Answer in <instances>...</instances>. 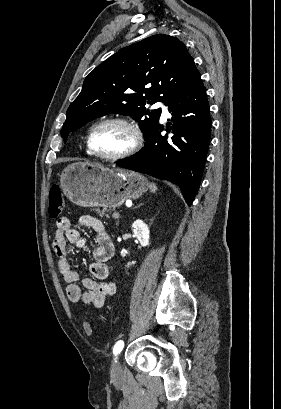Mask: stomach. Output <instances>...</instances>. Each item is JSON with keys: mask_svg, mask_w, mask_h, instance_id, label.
Instances as JSON below:
<instances>
[{"mask_svg": "<svg viewBox=\"0 0 281 409\" xmlns=\"http://www.w3.org/2000/svg\"><path fill=\"white\" fill-rule=\"evenodd\" d=\"M60 186L78 207H121L126 198H139L148 182L134 170L78 160L62 170Z\"/></svg>", "mask_w": 281, "mask_h": 409, "instance_id": "obj_1", "label": "stomach"}]
</instances>
